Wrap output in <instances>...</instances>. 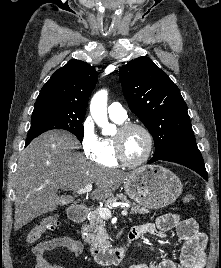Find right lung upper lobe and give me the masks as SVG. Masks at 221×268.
<instances>
[{
  "instance_id": "obj_1",
  "label": "right lung upper lobe",
  "mask_w": 221,
  "mask_h": 268,
  "mask_svg": "<svg viewBox=\"0 0 221 268\" xmlns=\"http://www.w3.org/2000/svg\"><path fill=\"white\" fill-rule=\"evenodd\" d=\"M97 78L95 67L80 60H70L42 87L34 111L59 109L85 114Z\"/></svg>"
}]
</instances>
